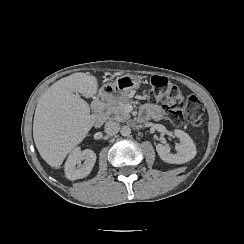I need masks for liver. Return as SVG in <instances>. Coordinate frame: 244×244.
I'll list each match as a JSON object with an SVG mask.
<instances>
[{
	"label": "liver",
	"instance_id": "6515ba94",
	"mask_svg": "<svg viewBox=\"0 0 244 244\" xmlns=\"http://www.w3.org/2000/svg\"><path fill=\"white\" fill-rule=\"evenodd\" d=\"M97 76L75 72L53 83L39 98L33 119V139L41 158L60 168L96 122L86 99L99 96Z\"/></svg>",
	"mask_w": 244,
	"mask_h": 244
}]
</instances>
